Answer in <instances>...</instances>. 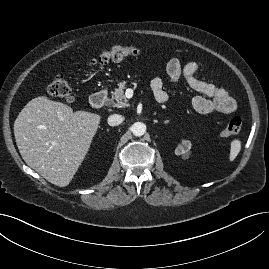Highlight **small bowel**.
Wrapping results in <instances>:
<instances>
[{
	"label": "small bowel",
	"instance_id": "small-bowel-1",
	"mask_svg": "<svg viewBox=\"0 0 269 269\" xmlns=\"http://www.w3.org/2000/svg\"><path fill=\"white\" fill-rule=\"evenodd\" d=\"M200 66L195 61L183 64L177 58H171L166 64V73L171 81L184 78L191 89L198 92L191 99V105L195 111L201 114H210L215 111L222 114H231L236 110V102L223 88L196 77ZM161 78H155L151 82V88L158 102H164L167 94L163 88Z\"/></svg>",
	"mask_w": 269,
	"mask_h": 269
}]
</instances>
